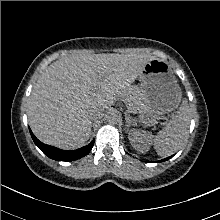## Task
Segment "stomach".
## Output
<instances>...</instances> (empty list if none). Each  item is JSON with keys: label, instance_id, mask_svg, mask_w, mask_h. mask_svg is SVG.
<instances>
[{"label": "stomach", "instance_id": "1", "mask_svg": "<svg viewBox=\"0 0 220 220\" xmlns=\"http://www.w3.org/2000/svg\"><path fill=\"white\" fill-rule=\"evenodd\" d=\"M140 100L133 109L139 116L136 121L152 126L180 104L182 92L167 62L153 59L139 75Z\"/></svg>", "mask_w": 220, "mask_h": 220}]
</instances>
